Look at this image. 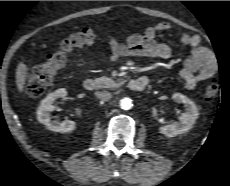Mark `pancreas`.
<instances>
[{"mask_svg": "<svg viewBox=\"0 0 230 186\" xmlns=\"http://www.w3.org/2000/svg\"><path fill=\"white\" fill-rule=\"evenodd\" d=\"M96 82L98 85V88L103 89V88H117L122 85L121 81H114L112 78L109 77H99L96 78Z\"/></svg>", "mask_w": 230, "mask_h": 186, "instance_id": "obj_1", "label": "pancreas"}]
</instances>
